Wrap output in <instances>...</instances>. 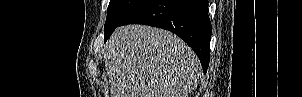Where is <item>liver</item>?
Segmentation results:
<instances>
[{
    "mask_svg": "<svg viewBox=\"0 0 302 97\" xmlns=\"http://www.w3.org/2000/svg\"><path fill=\"white\" fill-rule=\"evenodd\" d=\"M111 97H188L200 61L173 33L145 25L118 27L104 48Z\"/></svg>",
    "mask_w": 302,
    "mask_h": 97,
    "instance_id": "obj_1",
    "label": "liver"
}]
</instances>
